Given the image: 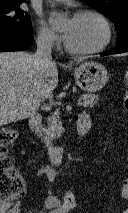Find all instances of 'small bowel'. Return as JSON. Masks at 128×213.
<instances>
[{
  "label": "small bowel",
  "instance_id": "c3829d8e",
  "mask_svg": "<svg viewBox=\"0 0 128 213\" xmlns=\"http://www.w3.org/2000/svg\"><path fill=\"white\" fill-rule=\"evenodd\" d=\"M37 176L44 182V185L47 187L55 181L56 171L51 166H43L38 169ZM61 205L62 199L53 191H49L48 195L45 197L41 205L39 213H63L61 211ZM0 213H20V203L18 201L0 200Z\"/></svg>",
  "mask_w": 128,
  "mask_h": 213
}]
</instances>
